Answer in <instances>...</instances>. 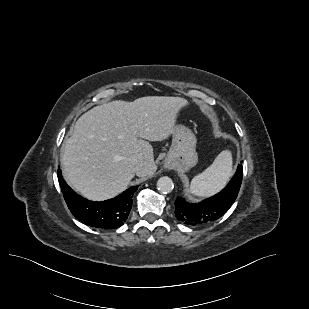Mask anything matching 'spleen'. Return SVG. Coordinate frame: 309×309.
I'll return each mask as SVG.
<instances>
[{
    "label": "spleen",
    "instance_id": "1",
    "mask_svg": "<svg viewBox=\"0 0 309 309\" xmlns=\"http://www.w3.org/2000/svg\"><path fill=\"white\" fill-rule=\"evenodd\" d=\"M232 162L231 151H222L205 171L192 179L190 193L208 197L219 192L232 174Z\"/></svg>",
    "mask_w": 309,
    "mask_h": 309
}]
</instances>
